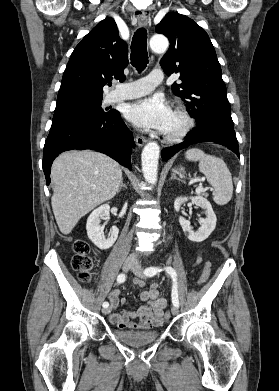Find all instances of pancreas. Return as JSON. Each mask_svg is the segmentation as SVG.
<instances>
[{"instance_id": "pancreas-1", "label": "pancreas", "mask_w": 279, "mask_h": 391, "mask_svg": "<svg viewBox=\"0 0 279 391\" xmlns=\"http://www.w3.org/2000/svg\"><path fill=\"white\" fill-rule=\"evenodd\" d=\"M202 196H204V197H207L208 196V194L207 193H204V192H201L200 193Z\"/></svg>"}]
</instances>
